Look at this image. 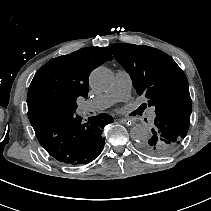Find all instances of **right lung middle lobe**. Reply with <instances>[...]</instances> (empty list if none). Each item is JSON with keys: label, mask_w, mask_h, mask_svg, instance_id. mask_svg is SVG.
Wrapping results in <instances>:
<instances>
[{"label": "right lung middle lobe", "mask_w": 211, "mask_h": 211, "mask_svg": "<svg viewBox=\"0 0 211 211\" xmlns=\"http://www.w3.org/2000/svg\"><path fill=\"white\" fill-rule=\"evenodd\" d=\"M76 111V108L73 109L72 113H74ZM31 125H34V123H31Z\"/></svg>", "instance_id": "right-lung-middle-lobe-1"}]
</instances>
